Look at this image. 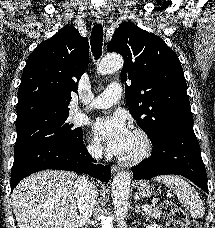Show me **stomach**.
Listing matches in <instances>:
<instances>
[{"label": "stomach", "instance_id": "stomach-1", "mask_svg": "<svg viewBox=\"0 0 215 228\" xmlns=\"http://www.w3.org/2000/svg\"><path fill=\"white\" fill-rule=\"evenodd\" d=\"M136 188L139 196L142 198H151L154 188L149 182H136Z\"/></svg>", "mask_w": 215, "mask_h": 228}]
</instances>
